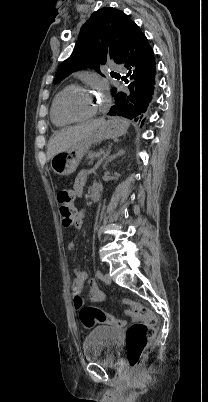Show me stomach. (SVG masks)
Returning a JSON list of instances; mask_svg holds the SVG:
<instances>
[{
	"label": "stomach",
	"instance_id": "stomach-1",
	"mask_svg": "<svg viewBox=\"0 0 208 402\" xmlns=\"http://www.w3.org/2000/svg\"><path fill=\"white\" fill-rule=\"evenodd\" d=\"M129 128L128 120H123V118H111L104 122L95 134L85 138L82 142H78L76 146H71L63 152H59L56 156L51 158V168L55 174L58 176H69L77 170L80 160L83 156L87 154L89 148L92 144H97V142H102V140H115L119 136L126 134Z\"/></svg>",
	"mask_w": 208,
	"mask_h": 402
}]
</instances>
